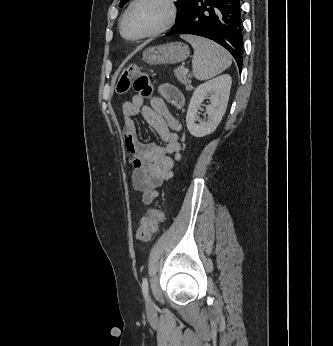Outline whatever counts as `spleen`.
I'll use <instances>...</instances> for the list:
<instances>
[{
	"instance_id": "3e777b00",
	"label": "spleen",
	"mask_w": 333,
	"mask_h": 346,
	"mask_svg": "<svg viewBox=\"0 0 333 346\" xmlns=\"http://www.w3.org/2000/svg\"><path fill=\"white\" fill-rule=\"evenodd\" d=\"M194 49L192 60L193 75L198 80H206L223 72L231 65L230 54L220 45L199 36H182Z\"/></svg>"
}]
</instances>
